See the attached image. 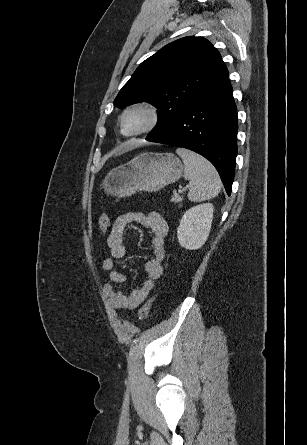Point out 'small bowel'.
<instances>
[{
    "label": "small bowel",
    "instance_id": "small-bowel-1",
    "mask_svg": "<svg viewBox=\"0 0 307 445\" xmlns=\"http://www.w3.org/2000/svg\"><path fill=\"white\" fill-rule=\"evenodd\" d=\"M131 223H139L151 233L152 258L145 263L147 279L143 285L129 293L116 290L113 284H123L126 276L117 268V262L122 259L127 251L124 234ZM168 226L165 219L155 211H133L124 213L114 221L106 243L110 250V257L103 261L102 267L109 273L111 283L103 285V294L107 297L109 305L114 309L132 310L144 302L155 283L163 274V260L165 258V237Z\"/></svg>",
    "mask_w": 307,
    "mask_h": 445
}]
</instances>
